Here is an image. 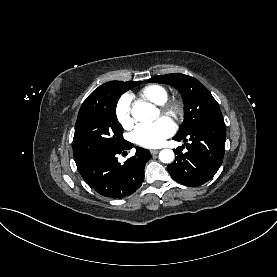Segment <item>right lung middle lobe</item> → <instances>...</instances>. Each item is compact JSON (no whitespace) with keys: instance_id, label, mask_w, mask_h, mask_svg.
I'll return each instance as SVG.
<instances>
[{"instance_id":"dd1d6c3e","label":"right lung middle lobe","mask_w":277,"mask_h":277,"mask_svg":"<svg viewBox=\"0 0 277 277\" xmlns=\"http://www.w3.org/2000/svg\"><path fill=\"white\" fill-rule=\"evenodd\" d=\"M140 84L141 81L112 82L103 90L98 102L79 111L73 138L75 161L127 144L116 117V105L122 93Z\"/></svg>"}]
</instances>
